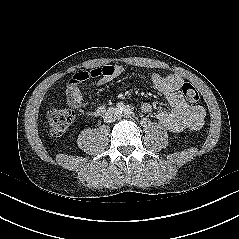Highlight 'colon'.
Segmentation results:
<instances>
[{"mask_svg": "<svg viewBox=\"0 0 239 239\" xmlns=\"http://www.w3.org/2000/svg\"><path fill=\"white\" fill-rule=\"evenodd\" d=\"M182 94L185 98L196 103L200 96L197 89L189 82L183 83L181 87ZM74 120V112L69 109L51 110L47 115L49 132L58 136L64 133Z\"/></svg>", "mask_w": 239, "mask_h": 239, "instance_id": "colon-1", "label": "colon"}]
</instances>
